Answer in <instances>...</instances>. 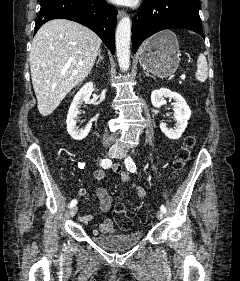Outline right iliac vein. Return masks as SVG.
Masks as SVG:
<instances>
[{"label": "right iliac vein", "mask_w": 240, "mask_h": 281, "mask_svg": "<svg viewBox=\"0 0 240 281\" xmlns=\"http://www.w3.org/2000/svg\"><path fill=\"white\" fill-rule=\"evenodd\" d=\"M118 151H119V149L117 147H114V146L110 147L108 152H107V155L109 157L113 158L118 153ZM77 211H78V207L77 206L72 207L71 210H70V216L71 217L75 216Z\"/></svg>", "instance_id": "63e3f726"}]
</instances>
